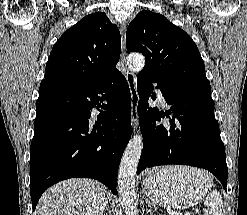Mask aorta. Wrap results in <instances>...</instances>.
Instances as JSON below:
<instances>
[{
  "label": "aorta",
  "mask_w": 247,
  "mask_h": 215,
  "mask_svg": "<svg viewBox=\"0 0 247 215\" xmlns=\"http://www.w3.org/2000/svg\"><path fill=\"white\" fill-rule=\"evenodd\" d=\"M128 68L133 72H140L145 65V58L138 53L127 57ZM143 149V139L140 133L135 134L129 141L118 171L119 200L126 215H136L135 176L137 166Z\"/></svg>",
  "instance_id": "1"
}]
</instances>
